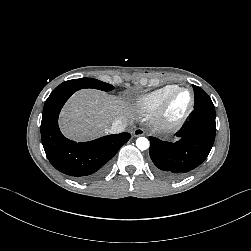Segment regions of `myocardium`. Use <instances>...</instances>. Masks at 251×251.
Masks as SVG:
<instances>
[{
    "instance_id": "myocardium-1",
    "label": "myocardium",
    "mask_w": 251,
    "mask_h": 251,
    "mask_svg": "<svg viewBox=\"0 0 251 251\" xmlns=\"http://www.w3.org/2000/svg\"><path fill=\"white\" fill-rule=\"evenodd\" d=\"M186 92L189 95V102L184 110L176 117L169 115V107L173 98L181 93ZM195 98L193 92L184 87H176L162 101L160 106L153 114L152 123L154 127L161 131H175L179 129L194 108Z\"/></svg>"
}]
</instances>
